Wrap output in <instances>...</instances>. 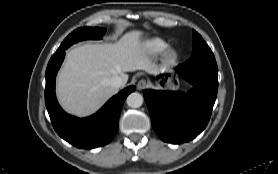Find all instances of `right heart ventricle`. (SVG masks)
<instances>
[{
  "label": "right heart ventricle",
  "instance_id": "right-heart-ventricle-1",
  "mask_svg": "<svg viewBox=\"0 0 278 174\" xmlns=\"http://www.w3.org/2000/svg\"><path fill=\"white\" fill-rule=\"evenodd\" d=\"M145 47L149 54L158 55L166 50L168 44L161 38H152L146 42Z\"/></svg>",
  "mask_w": 278,
  "mask_h": 174
}]
</instances>
